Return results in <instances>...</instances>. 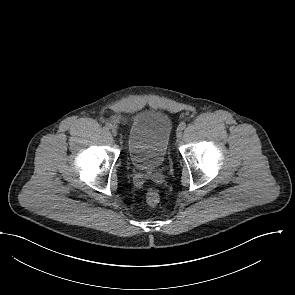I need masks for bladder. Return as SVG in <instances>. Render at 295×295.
I'll return each instance as SVG.
<instances>
[{"label": "bladder", "mask_w": 295, "mask_h": 295, "mask_svg": "<svg viewBox=\"0 0 295 295\" xmlns=\"http://www.w3.org/2000/svg\"><path fill=\"white\" fill-rule=\"evenodd\" d=\"M172 133L168 115L159 109L140 111L131 121L127 134V153L139 170H154L164 162Z\"/></svg>", "instance_id": "bladder-1"}]
</instances>
